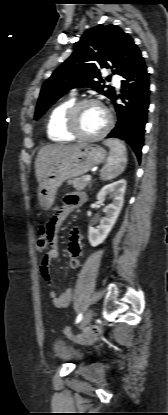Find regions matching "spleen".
Listing matches in <instances>:
<instances>
[{
    "instance_id": "obj_1",
    "label": "spleen",
    "mask_w": 168,
    "mask_h": 415,
    "mask_svg": "<svg viewBox=\"0 0 168 415\" xmlns=\"http://www.w3.org/2000/svg\"><path fill=\"white\" fill-rule=\"evenodd\" d=\"M104 144L110 148L106 165L100 172L103 181L111 180L120 175L127 164V150L123 142L118 139H107Z\"/></svg>"
}]
</instances>
